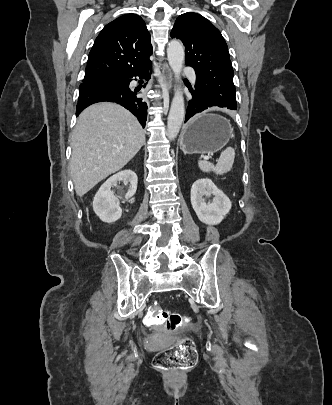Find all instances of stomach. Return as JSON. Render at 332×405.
<instances>
[{"instance_id":"0dacf381","label":"stomach","mask_w":332,"mask_h":405,"mask_svg":"<svg viewBox=\"0 0 332 405\" xmlns=\"http://www.w3.org/2000/svg\"><path fill=\"white\" fill-rule=\"evenodd\" d=\"M232 128L224 117L205 111L192 118L180 139V147L186 154H213L230 140Z\"/></svg>"}]
</instances>
